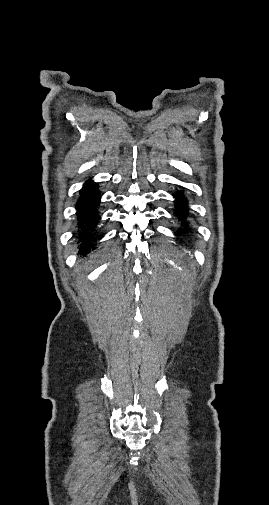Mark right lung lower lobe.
<instances>
[{
    "mask_svg": "<svg viewBox=\"0 0 269 505\" xmlns=\"http://www.w3.org/2000/svg\"><path fill=\"white\" fill-rule=\"evenodd\" d=\"M100 203V191L92 180H88L79 192L76 203V237L80 243L79 253L87 255L92 248V241H96L100 215L98 207Z\"/></svg>",
    "mask_w": 269,
    "mask_h": 505,
    "instance_id": "obj_1",
    "label": "right lung lower lobe"
}]
</instances>
